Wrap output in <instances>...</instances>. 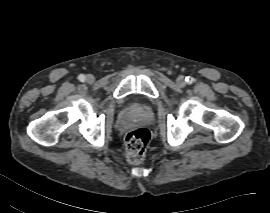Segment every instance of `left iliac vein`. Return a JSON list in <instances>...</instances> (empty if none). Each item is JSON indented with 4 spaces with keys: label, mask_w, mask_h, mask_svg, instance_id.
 Instances as JSON below:
<instances>
[{
    "label": "left iliac vein",
    "mask_w": 270,
    "mask_h": 213,
    "mask_svg": "<svg viewBox=\"0 0 270 213\" xmlns=\"http://www.w3.org/2000/svg\"><path fill=\"white\" fill-rule=\"evenodd\" d=\"M177 82L180 86H183L185 84V81H184V77L183 76H179L178 79H177Z\"/></svg>",
    "instance_id": "obj_1"
}]
</instances>
